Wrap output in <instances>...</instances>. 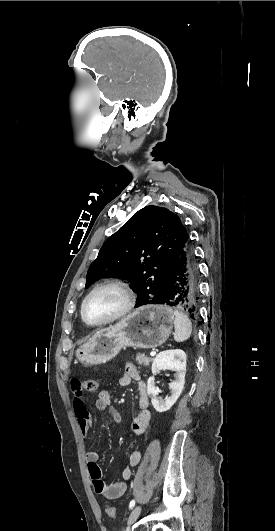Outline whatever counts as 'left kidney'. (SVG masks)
<instances>
[{
    "label": "left kidney",
    "mask_w": 275,
    "mask_h": 531,
    "mask_svg": "<svg viewBox=\"0 0 275 531\" xmlns=\"http://www.w3.org/2000/svg\"><path fill=\"white\" fill-rule=\"evenodd\" d=\"M162 369L176 371V381L169 383V389H172L170 397H167V399H159V397H157L159 389L155 387V377H150V379H148L147 393L149 397H151V403L158 413L169 411L183 391L186 373V353L181 351V349L162 351V353H159V355L155 357L152 363L153 375L160 373Z\"/></svg>",
    "instance_id": "left-kidney-1"
}]
</instances>
